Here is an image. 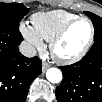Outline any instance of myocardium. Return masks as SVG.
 Returning a JSON list of instances; mask_svg holds the SVG:
<instances>
[{
    "label": "myocardium",
    "instance_id": "obj_1",
    "mask_svg": "<svg viewBox=\"0 0 102 102\" xmlns=\"http://www.w3.org/2000/svg\"><path fill=\"white\" fill-rule=\"evenodd\" d=\"M78 22H86L88 27H89V37L88 40L86 42V44L84 45V47L81 49V51L76 54L75 56L72 57H63L61 55H59L56 51L57 46L59 45V43L62 41V39L68 34V32L70 31V29L77 24ZM94 40V30L92 27V23L88 18L85 17H77L76 19H74L73 21H71L70 23H68L65 27H63L50 41V52L51 55L59 62L65 65H70L73 63L78 62L79 60H81L86 53L88 52V50L90 49L92 43Z\"/></svg>",
    "mask_w": 102,
    "mask_h": 102
}]
</instances>
